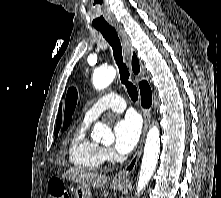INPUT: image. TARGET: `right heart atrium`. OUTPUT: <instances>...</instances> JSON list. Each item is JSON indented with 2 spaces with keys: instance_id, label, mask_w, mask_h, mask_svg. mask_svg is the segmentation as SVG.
Returning <instances> with one entry per match:
<instances>
[{
  "instance_id": "right-heart-atrium-1",
  "label": "right heart atrium",
  "mask_w": 221,
  "mask_h": 198,
  "mask_svg": "<svg viewBox=\"0 0 221 198\" xmlns=\"http://www.w3.org/2000/svg\"><path fill=\"white\" fill-rule=\"evenodd\" d=\"M102 151H103V156L105 160L110 161L114 158V153L112 152L110 148L103 147Z\"/></svg>"
}]
</instances>
